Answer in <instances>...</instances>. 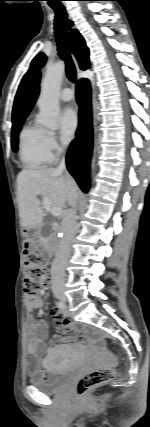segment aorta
<instances>
[{"instance_id": "762f6f07", "label": "aorta", "mask_w": 150, "mask_h": 427, "mask_svg": "<svg viewBox=\"0 0 150 427\" xmlns=\"http://www.w3.org/2000/svg\"><path fill=\"white\" fill-rule=\"evenodd\" d=\"M65 71V63L59 61L54 65H51L47 68L45 76L42 82V91L40 98L38 100V106L40 109V114L38 117V122L52 130H55L58 126L57 118L60 112L59 108V92L61 87L62 78ZM93 124L95 132V146L92 159V170L94 169L95 161V152H96V122H95V109L96 103L93 96Z\"/></svg>"}]
</instances>
